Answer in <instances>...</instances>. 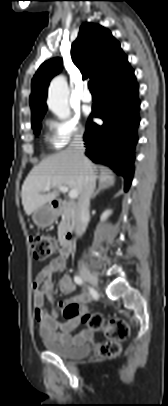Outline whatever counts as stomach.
<instances>
[{
	"label": "stomach",
	"instance_id": "1",
	"mask_svg": "<svg viewBox=\"0 0 168 406\" xmlns=\"http://www.w3.org/2000/svg\"><path fill=\"white\" fill-rule=\"evenodd\" d=\"M56 217L57 211L49 205L40 207L32 215L33 222L39 227L51 225Z\"/></svg>",
	"mask_w": 168,
	"mask_h": 406
}]
</instances>
